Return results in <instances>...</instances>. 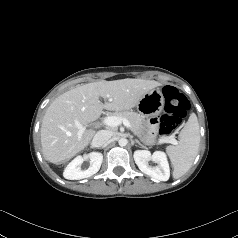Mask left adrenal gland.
Instances as JSON below:
<instances>
[{"label": "left adrenal gland", "mask_w": 238, "mask_h": 238, "mask_svg": "<svg viewBox=\"0 0 238 238\" xmlns=\"http://www.w3.org/2000/svg\"><path fill=\"white\" fill-rule=\"evenodd\" d=\"M136 143H138L140 146L144 147L138 140H135Z\"/></svg>", "instance_id": "a2214340"}]
</instances>
